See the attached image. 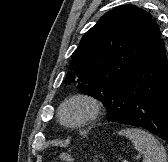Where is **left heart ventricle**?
Wrapping results in <instances>:
<instances>
[{
  "label": "left heart ventricle",
  "instance_id": "obj_1",
  "mask_svg": "<svg viewBox=\"0 0 168 162\" xmlns=\"http://www.w3.org/2000/svg\"><path fill=\"white\" fill-rule=\"evenodd\" d=\"M79 115V111L77 109H70L68 112H67V117L70 119V120H74L78 117Z\"/></svg>",
  "mask_w": 168,
  "mask_h": 162
}]
</instances>
